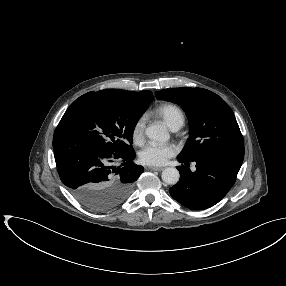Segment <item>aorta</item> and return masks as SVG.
Returning <instances> with one entry per match:
<instances>
[{
	"label": "aorta",
	"instance_id": "obj_1",
	"mask_svg": "<svg viewBox=\"0 0 286 286\" xmlns=\"http://www.w3.org/2000/svg\"><path fill=\"white\" fill-rule=\"evenodd\" d=\"M146 136L154 141L166 142L170 135L166 127L160 124H152L145 130ZM162 180L168 185H175L179 181V171L174 167H167L162 172Z\"/></svg>",
	"mask_w": 286,
	"mask_h": 286
}]
</instances>
